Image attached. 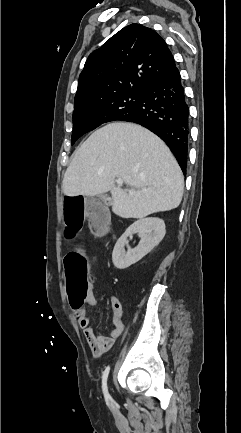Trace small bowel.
<instances>
[{
    "mask_svg": "<svg viewBox=\"0 0 241 433\" xmlns=\"http://www.w3.org/2000/svg\"><path fill=\"white\" fill-rule=\"evenodd\" d=\"M97 261V256L92 255L90 257L91 265L93 266ZM87 303L89 305L95 306L97 300L91 291L89 297L87 298ZM110 303L112 308V323L113 329L108 336L97 335L91 325L90 319L87 316L86 310L83 308L82 312H73L80 328L83 330L85 339L92 350V353L96 357H100L106 351H108L115 340L119 338L124 331V324L122 321L123 317V307L116 295L110 296Z\"/></svg>",
    "mask_w": 241,
    "mask_h": 433,
    "instance_id": "small-bowel-1",
    "label": "small bowel"
}]
</instances>
